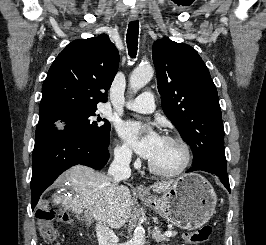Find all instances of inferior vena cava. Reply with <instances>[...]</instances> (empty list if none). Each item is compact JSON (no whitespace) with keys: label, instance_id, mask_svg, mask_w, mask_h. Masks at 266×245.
<instances>
[{"label":"inferior vena cava","instance_id":"obj_1","mask_svg":"<svg viewBox=\"0 0 266 245\" xmlns=\"http://www.w3.org/2000/svg\"><path fill=\"white\" fill-rule=\"evenodd\" d=\"M130 163L131 153L129 151H125L122 155H115L114 161L108 169V175L112 179L113 187H117L119 181L129 179L131 175ZM103 191L107 193L108 189H103ZM95 229L99 245H115L116 235L105 223H97Z\"/></svg>","mask_w":266,"mask_h":245}]
</instances>
